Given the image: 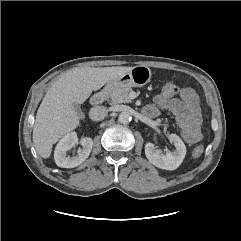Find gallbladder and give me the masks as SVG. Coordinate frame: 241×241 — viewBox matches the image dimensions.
<instances>
[{
  "label": "gallbladder",
  "instance_id": "1",
  "mask_svg": "<svg viewBox=\"0 0 241 241\" xmlns=\"http://www.w3.org/2000/svg\"><path fill=\"white\" fill-rule=\"evenodd\" d=\"M73 108L79 116L82 115V110H81V107L79 105L73 104Z\"/></svg>",
  "mask_w": 241,
  "mask_h": 241
}]
</instances>
